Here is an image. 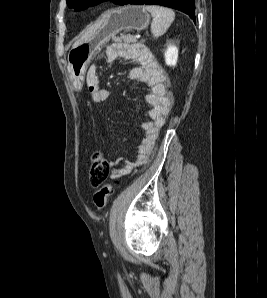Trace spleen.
Instances as JSON below:
<instances>
[{
  "mask_svg": "<svg viewBox=\"0 0 267 298\" xmlns=\"http://www.w3.org/2000/svg\"><path fill=\"white\" fill-rule=\"evenodd\" d=\"M144 9L151 13L153 22L151 31L154 37H160L166 33L175 19V13L166 7L147 5Z\"/></svg>",
  "mask_w": 267,
  "mask_h": 298,
  "instance_id": "1",
  "label": "spleen"
}]
</instances>
